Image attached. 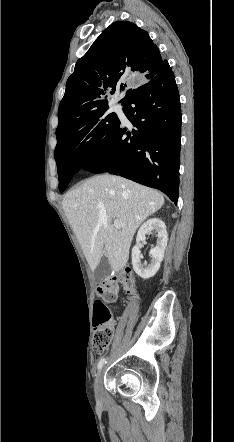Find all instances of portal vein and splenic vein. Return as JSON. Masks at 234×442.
<instances>
[{
	"label": "portal vein and splenic vein",
	"mask_w": 234,
	"mask_h": 442,
	"mask_svg": "<svg viewBox=\"0 0 234 442\" xmlns=\"http://www.w3.org/2000/svg\"><path fill=\"white\" fill-rule=\"evenodd\" d=\"M113 225H114L116 228H121V227L124 225V223H122L121 221L115 219Z\"/></svg>",
	"instance_id": "portal-vein-and-splenic-vein-1"
}]
</instances>
